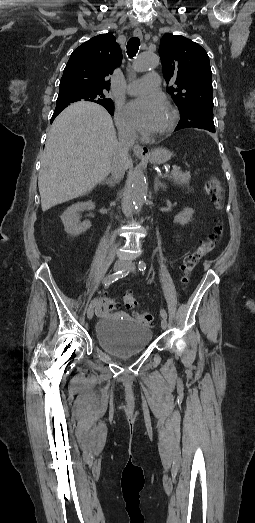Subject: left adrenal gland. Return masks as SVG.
I'll return each instance as SVG.
<instances>
[{
    "instance_id": "a2214340",
    "label": "left adrenal gland",
    "mask_w": 255,
    "mask_h": 523,
    "mask_svg": "<svg viewBox=\"0 0 255 523\" xmlns=\"http://www.w3.org/2000/svg\"><path fill=\"white\" fill-rule=\"evenodd\" d=\"M158 188H166L163 182H160V176H155L154 192H158Z\"/></svg>"
}]
</instances>
